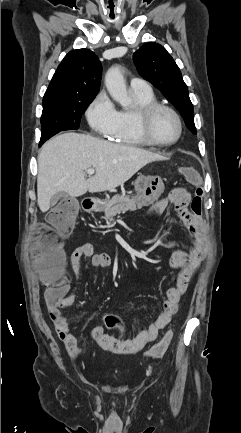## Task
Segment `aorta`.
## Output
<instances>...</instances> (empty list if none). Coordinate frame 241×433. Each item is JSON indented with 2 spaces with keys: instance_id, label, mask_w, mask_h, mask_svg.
<instances>
[{
  "instance_id": "762f6f07",
  "label": "aorta",
  "mask_w": 241,
  "mask_h": 433,
  "mask_svg": "<svg viewBox=\"0 0 241 433\" xmlns=\"http://www.w3.org/2000/svg\"><path fill=\"white\" fill-rule=\"evenodd\" d=\"M105 85L110 96L121 106L127 107L132 103L128 96L126 83L119 67H111L107 71Z\"/></svg>"
}]
</instances>
